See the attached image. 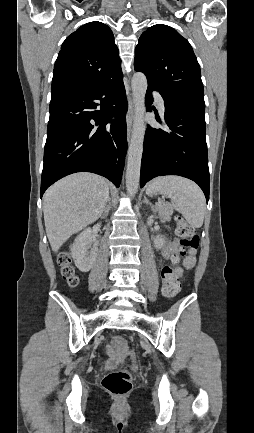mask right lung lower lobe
I'll list each match as a JSON object with an SVG mask.
<instances>
[{
    "mask_svg": "<svg viewBox=\"0 0 254 433\" xmlns=\"http://www.w3.org/2000/svg\"><path fill=\"white\" fill-rule=\"evenodd\" d=\"M127 108L123 78L52 92L41 197L57 180L82 171L102 175L119 187L127 152ZM112 116L116 119L110 120Z\"/></svg>",
    "mask_w": 254,
    "mask_h": 433,
    "instance_id": "obj_1",
    "label": "right lung lower lobe"
}]
</instances>
